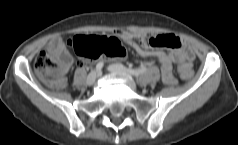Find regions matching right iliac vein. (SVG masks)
Here are the masks:
<instances>
[{"label": "right iliac vein", "mask_w": 238, "mask_h": 145, "mask_svg": "<svg viewBox=\"0 0 238 145\" xmlns=\"http://www.w3.org/2000/svg\"><path fill=\"white\" fill-rule=\"evenodd\" d=\"M97 78H98V73H97L96 71H92V72L88 75L86 82H87L88 85L91 86V85H93V84L95 83V81L97 80Z\"/></svg>", "instance_id": "obj_1"}]
</instances>
